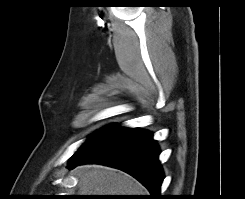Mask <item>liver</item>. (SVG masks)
<instances>
[{"mask_svg":"<svg viewBox=\"0 0 245 199\" xmlns=\"http://www.w3.org/2000/svg\"><path fill=\"white\" fill-rule=\"evenodd\" d=\"M77 173L80 195H146L138 181L110 167L83 165Z\"/></svg>","mask_w":245,"mask_h":199,"instance_id":"liver-1","label":"liver"}]
</instances>
